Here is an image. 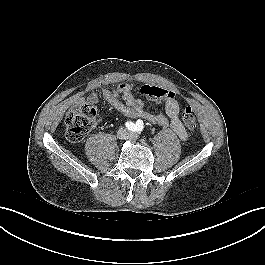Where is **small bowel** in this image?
Returning <instances> with one entry per match:
<instances>
[{"instance_id":"obj_1","label":"small bowel","mask_w":265,"mask_h":265,"mask_svg":"<svg viewBox=\"0 0 265 265\" xmlns=\"http://www.w3.org/2000/svg\"><path fill=\"white\" fill-rule=\"evenodd\" d=\"M167 91L169 95L163 99L165 104V115L148 112L144 102L133 95L130 85L126 83L118 85L113 90L103 89L101 91V96L125 116L141 119L162 127L170 126L180 139L186 140L188 134L179 118V104L175 98L174 92L170 90ZM85 101L90 104H97L99 96L97 93H91L86 99H78L79 103Z\"/></svg>"}]
</instances>
